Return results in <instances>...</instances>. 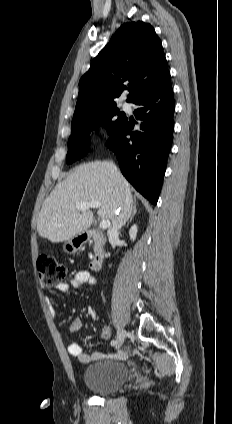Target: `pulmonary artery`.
<instances>
[{
  "mask_svg": "<svg viewBox=\"0 0 232 424\" xmlns=\"http://www.w3.org/2000/svg\"><path fill=\"white\" fill-rule=\"evenodd\" d=\"M123 107H124V109H127V110L130 109V105L128 103H124Z\"/></svg>",
  "mask_w": 232,
  "mask_h": 424,
  "instance_id": "1",
  "label": "pulmonary artery"
}]
</instances>
